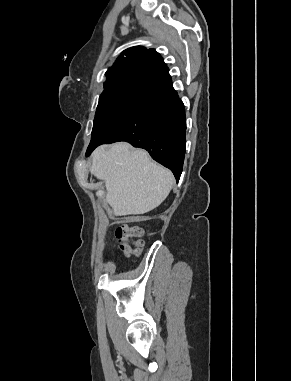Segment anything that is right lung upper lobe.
<instances>
[{"label": "right lung upper lobe", "instance_id": "obj_1", "mask_svg": "<svg viewBox=\"0 0 291 381\" xmlns=\"http://www.w3.org/2000/svg\"><path fill=\"white\" fill-rule=\"evenodd\" d=\"M125 56V57H124ZM162 57L154 49L136 46L126 49L106 72L104 89L115 86L129 78L143 77L165 68Z\"/></svg>", "mask_w": 291, "mask_h": 381}]
</instances>
